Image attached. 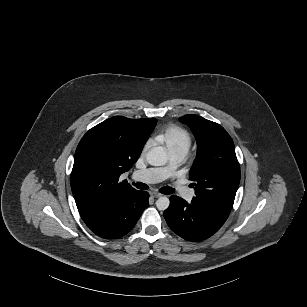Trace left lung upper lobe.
<instances>
[{
  "instance_id": "left-lung-upper-lobe-1",
  "label": "left lung upper lobe",
  "mask_w": 307,
  "mask_h": 307,
  "mask_svg": "<svg viewBox=\"0 0 307 307\" xmlns=\"http://www.w3.org/2000/svg\"><path fill=\"white\" fill-rule=\"evenodd\" d=\"M197 140V157L189 172L195 194L192 202L201 209L227 219L240 182V166L234 143L219 124L198 115H185Z\"/></svg>"
}]
</instances>
